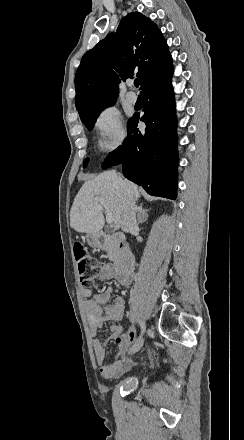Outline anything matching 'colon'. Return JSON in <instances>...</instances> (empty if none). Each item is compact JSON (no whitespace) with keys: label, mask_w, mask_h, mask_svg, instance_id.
Masks as SVG:
<instances>
[{"label":"colon","mask_w":244,"mask_h":440,"mask_svg":"<svg viewBox=\"0 0 244 440\" xmlns=\"http://www.w3.org/2000/svg\"><path fill=\"white\" fill-rule=\"evenodd\" d=\"M74 255L76 257L78 271L81 281L86 287L92 286L91 278L99 270V262L95 258H90L87 249L81 243L74 244Z\"/></svg>","instance_id":"colon-1"}]
</instances>
